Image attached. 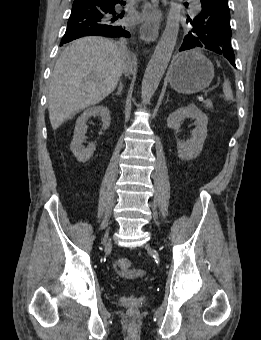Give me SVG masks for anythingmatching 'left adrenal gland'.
<instances>
[{
	"mask_svg": "<svg viewBox=\"0 0 261 340\" xmlns=\"http://www.w3.org/2000/svg\"><path fill=\"white\" fill-rule=\"evenodd\" d=\"M168 102H169V95H167V99H166L165 104L168 103Z\"/></svg>",
	"mask_w": 261,
	"mask_h": 340,
	"instance_id": "obj_1",
	"label": "left adrenal gland"
}]
</instances>
